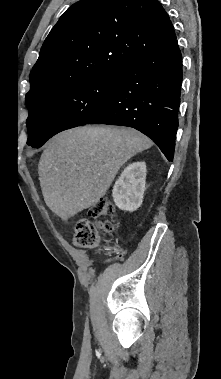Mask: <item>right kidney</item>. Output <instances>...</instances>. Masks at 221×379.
I'll use <instances>...</instances> for the list:
<instances>
[{
	"label": "right kidney",
	"instance_id": "right-kidney-1",
	"mask_svg": "<svg viewBox=\"0 0 221 379\" xmlns=\"http://www.w3.org/2000/svg\"><path fill=\"white\" fill-rule=\"evenodd\" d=\"M145 179V162H134L124 169L112 191L114 202L119 209L135 211L141 206L145 191Z\"/></svg>",
	"mask_w": 221,
	"mask_h": 379
}]
</instances>
